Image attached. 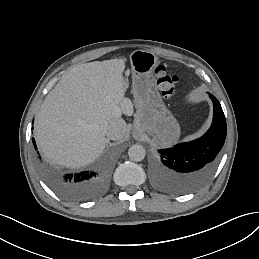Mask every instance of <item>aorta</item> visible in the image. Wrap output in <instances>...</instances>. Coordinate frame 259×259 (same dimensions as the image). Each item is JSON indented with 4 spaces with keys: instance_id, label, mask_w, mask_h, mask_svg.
Masks as SVG:
<instances>
[{
    "instance_id": "762f6f07",
    "label": "aorta",
    "mask_w": 259,
    "mask_h": 259,
    "mask_svg": "<svg viewBox=\"0 0 259 259\" xmlns=\"http://www.w3.org/2000/svg\"><path fill=\"white\" fill-rule=\"evenodd\" d=\"M128 155L132 161L139 162L145 158L146 151L142 145L134 144L129 148Z\"/></svg>"
}]
</instances>
